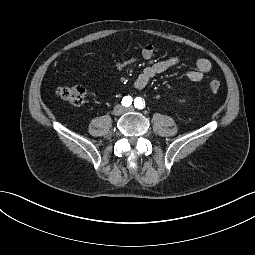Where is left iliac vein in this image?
I'll use <instances>...</instances> for the list:
<instances>
[{
    "label": "left iliac vein",
    "instance_id": "4c4485c4",
    "mask_svg": "<svg viewBox=\"0 0 255 255\" xmlns=\"http://www.w3.org/2000/svg\"><path fill=\"white\" fill-rule=\"evenodd\" d=\"M132 110H134L133 107L126 108V111H132Z\"/></svg>",
    "mask_w": 255,
    "mask_h": 255
}]
</instances>
